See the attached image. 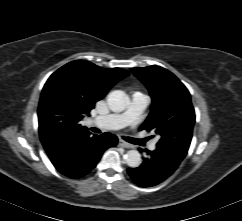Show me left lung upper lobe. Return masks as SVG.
<instances>
[{
    "instance_id": "5c2ea615",
    "label": "left lung upper lobe",
    "mask_w": 242,
    "mask_h": 221,
    "mask_svg": "<svg viewBox=\"0 0 242 221\" xmlns=\"http://www.w3.org/2000/svg\"><path fill=\"white\" fill-rule=\"evenodd\" d=\"M152 97L151 112L140 130L160 135L157 146L169 148L185 156L195 123L190 93L170 71L159 67L131 68Z\"/></svg>"
}]
</instances>
